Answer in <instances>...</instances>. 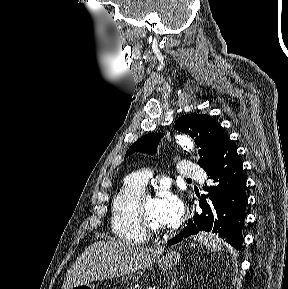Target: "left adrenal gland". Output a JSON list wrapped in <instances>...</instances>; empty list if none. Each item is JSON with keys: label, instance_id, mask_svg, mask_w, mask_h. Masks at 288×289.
<instances>
[{"label": "left adrenal gland", "instance_id": "obj_1", "mask_svg": "<svg viewBox=\"0 0 288 289\" xmlns=\"http://www.w3.org/2000/svg\"><path fill=\"white\" fill-rule=\"evenodd\" d=\"M177 282H178L177 281V276H176V274H174L172 276L171 283H169L168 286H167V289H172L176 285Z\"/></svg>", "mask_w": 288, "mask_h": 289}]
</instances>
